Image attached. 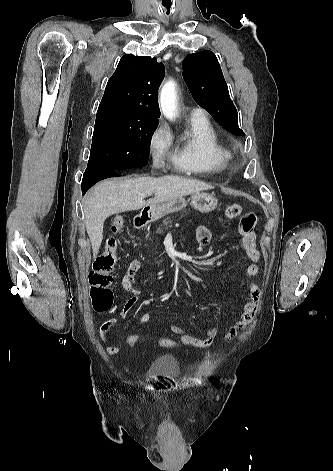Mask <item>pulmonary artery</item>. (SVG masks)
Here are the masks:
<instances>
[{
	"mask_svg": "<svg viewBox=\"0 0 333 471\" xmlns=\"http://www.w3.org/2000/svg\"><path fill=\"white\" fill-rule=\"evenodd\" d=\"M203 110L200 109V108H193L190 112V116L191 117H198V116H201L203 115Z\"/></svg>",
	"mask_w": 333,
	"mask_h": 471,
	"instance_id": "e3ab8cb5",
	"label": "pulmonary artery"
}]
</instances>
